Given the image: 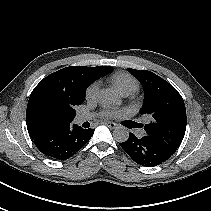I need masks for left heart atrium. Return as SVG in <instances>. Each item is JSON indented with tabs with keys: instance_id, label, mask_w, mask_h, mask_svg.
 <instances>
[{
	"instance_id": "39dd6f15",
	"label": "left heart atrium",
	"mask_w": 211,
	"mask_h": 211,
	"mask_svg": "<svg viewBox=\"0 0 211 211\" xmlns=\"http://www.w3.org/2000/svg\"><path fill=\"white\" fill-rule=\"evenodd\" d=\"M117 113H116V111H114V110H107L106 112H105V115L106 116H115Z\"/></svg>"
}]
</instances>
